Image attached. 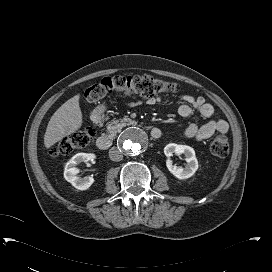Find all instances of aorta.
<instances>
[{"label":"aorta","instance_id":"762f6f07","mask_svg":"<svg viewBox=\"0 0 272 272\" xmlns=\"http://www.w3.org/2000/svg\"><path fill=\"white\" fill-rule=\"evenodd\" d=\"M123 151L128 155H138L148 146V137L139 127L127 129L119 140Z\"/></svg>","mask_w":272,"mask_h":272}]
</instances>
